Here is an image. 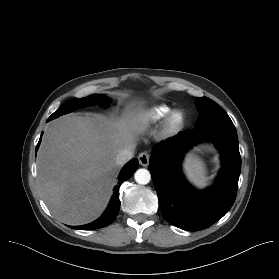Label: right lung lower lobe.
Masks as SVG:
<instances>
[{
	"mask_svg": "<svg viewBox=\"0 0 279 279\" xmlns=\"http://www.w3.org/2000/svg\"><path fill=\"white\" fill-rule=\"evenodd\" d=\"M49 121V120H48ZM41 142V137L40 140L37 144L36 151L38 150L39 144ZM138 166V160L133 159L131 160L121 171L119 177H118V184L114 188V192L110 201V204L106 211L103 213V215L94 221L93 223L84 225V226H71V228L74 229H79V230H93V229H98L105 227L109 224H111L114 219L116 218L119 208H120V200H119V188L122 182L128 180L131 175L137 170Z\"/></svg>",
	"mask_w": 279,
	"mask_h": 279,
	"instance_id": "98d812e1",
	"label": "right lung lower lobe"
}]
</instances>
